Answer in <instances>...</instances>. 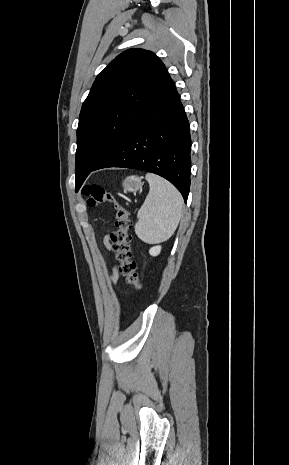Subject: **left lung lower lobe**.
Listing matches in <instances>:
<instances>
[{
  "label": "left lung lower lobe",
  "instance_id": "left-lung-lower-lobe-1",
  "mask_svg": "<svg viewBox=\"0 0 289 465\" xmlns=\"http://www.w3.org/2000/svg\"><path fill=\"white\" fill-rule=\"evenodd\" d=\"M190 148L188 119L170 78L151 95L130 127L92 171L126 167L152 172L170 181L187 202Z\"/></svg>",
  "mask_w": 289,
  "mask_h": 465
}]
</instances>
